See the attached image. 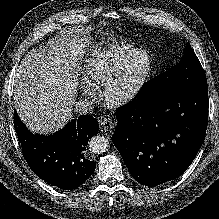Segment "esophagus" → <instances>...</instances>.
I'll list each match as a JSON object with an SVG mask.
<instances>
[{
    "label": "esophagus",
    "instance_id": "obj_1",
    "mask_svg": "<svg viewBox=\"0 0 219 219\" xmlns=\"http://www.w3.org/2000/svg\"><path fill=\"white\" fill-rule=\"evenodd\" d=\"M100 128L104 131L111 130L114 126V122L110 118H102L99 120Z\"/></svg>",
    "mask_w": 219,
    "mask_h": 219
}]
</instances>
